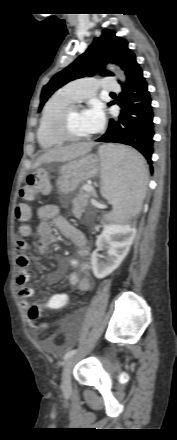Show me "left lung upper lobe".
Returning a JSON list of instances; mask_svg holds the SVG:
<instances>
[{
    "label": "left lung upper lobe",
    "mask_w": 177,
    "mask_h": 440,
    "mask_svg": "<svg viewBox=\"0 0 177 440\" xmlns=\"http://www.w3.org/2000/svg\"><path fill=\"white\" fill-rule=\"evenodd\" d=\"M115 33L113 30H103L101 36L94 39L85 53L53 76L50 82L43 87L39 111L53 92L72 80L92 76L94 72L113 75L111 72L103 70L105 64L109 62L119 64L127 76L126 82H129L134 72L140 67L136 62L135 54L128 48V42L116 36ZM112 104L113 102L108 103V105Z\"/></svg>",
    "instance_id": "1"
}]
</instances>
